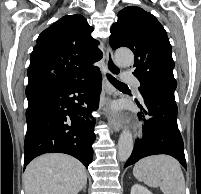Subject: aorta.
I'll return each mask as SVG.
<instances>
[{"instance_id": "aorta-1", "label": "aorta", "mask_w": 201, "mask_h": 194, "mask_svg": "<svg viewBox=\"0 0 201 194\" xmlns=\"http://www.w3.org/2000/svg\"><path fill=\"white\" fill-rule=\"evenodd\" d=\"M115 61L119 66L128 67L134 62V55L129 49H118L115 52ZM133 150V137L128 129H124L118 140V158L126 161Z\"/></svg>"}]
</instances>
